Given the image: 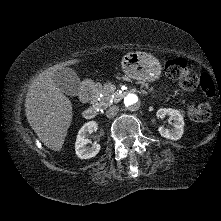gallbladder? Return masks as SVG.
Instances as JSON below:
<instances>
[{
  "instance_id": "bac80fb5",
  "label": "gallbladder",
  "mask_w": 221,
  "mask_h": 221,
  "mask_svg": "<svg viewBox=\"0 0 221 221\" xmlns=\"http://www.w3.org/2000/svg\"><path fill=\"white\" fill-rule=\"evenodd\" d=\"M53 81L64 94L69 96H77L79 94L81 81L71 68L58 69L53 75Z\"/></svg>"
}]
</instances>
